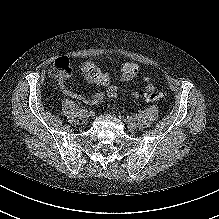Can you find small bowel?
I'll return each instance as SVG.
<instances>
[{
	"instance_id": "small-bowel-1",
	"label": "small bowel",
	"mask_w": 219,
	"mask_h": 219,
	"mask_svg": "<svg viewBox=\"0 0 219 219\" xmlns=\"http://www.w3.org/2000/svg\"><path fill=\"white\" fill-rule=\"evenodd\" d=\"M92 68H96L98 72H101V70L93 63L91 62H86L84 63L82 66H81V73L82 75L84 76L86 82L89 84V85H100L97 81H96V74L91 71ZM137 75V74H136ZM136 75L132 76V77H129V78H123L125 80H131V79H134L136 77ZM143 81L145 82L146 84V91L147 92H150V91H153L154 90V86L153 84L151 83V80L149 77L145 76L143 78ZM60 88L63 92L64 95L72 98V99H76V100H79V101H82L88 105H97L99 104L105 97L104 93L102 92H98V93H95L91 96H88V97H85V96H82L80 94H77L75 92H73L72 90H70L66 85H64L63 83H60ZM133 96L134 97H138L139 94L138 93H133Z\"/></svg>"
}]
</instances>
